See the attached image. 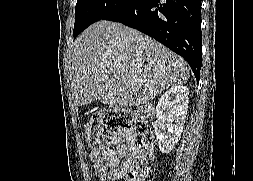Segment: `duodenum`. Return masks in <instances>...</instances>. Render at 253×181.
<instances>
[{
	"instance_id": "1",
	"label": "duodenum",
	"mask_w": 253,
	"mask_h": 181,
	"mask_svg": "<svg viewBox=\"0 0 253 181\" xmlns=\"http://www.w3.org/2000/svg\"><path fill=\"white\" fill-rule=\"evenodd\" d=\"M142 112H143L145 115H151L152 112H153V109H152V107L149 106V105H144V106L142 107Z\"/></svg>"
}]
</instances>
